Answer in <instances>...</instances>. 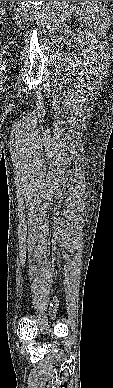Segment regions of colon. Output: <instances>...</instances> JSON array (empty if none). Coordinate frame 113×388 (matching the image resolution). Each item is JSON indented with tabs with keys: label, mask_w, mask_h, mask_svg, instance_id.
<instances>
[{
	"label": "colon",
	"mask_w": 113,
	"mask_h": 388,
	"mask_svg": "<svg viewBox=\"0 0 113 388\" xmlns=\"http://www.w3.org/2000/svg\"><path fill=\"white\" fill-rule=\"evenodd\" d=\"M3 28V23H2V20H1V12H0V29Z\"/></svg>",
	"instance_id": "5ec220e1"
}]
</instances>
